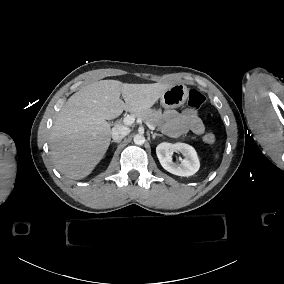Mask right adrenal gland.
<instances>
[{
  "mask_svg": "<svg viewBox=\"0 0 284 284\" xmlns=\"http://www.w3.org/2000/svg\"><path fill=\"white\" fill-rule=\"evenodd\" d=\"M120 142H121V140L120 141H111V144L116 143L117 145H119Z\"/></svg>",
  "mask_w": 284,
  "mask_h": 284,
  "instance_id": "right-adrenal-gland-1",
  "label": "right adrenal gland"
}]
</instances>
